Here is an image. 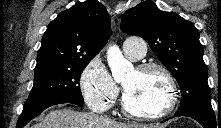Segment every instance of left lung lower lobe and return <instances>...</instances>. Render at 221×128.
Segmentation results:
<instances>
[{
  "label": "left lung lower lobe",
  "mask_w": 221,
  "mask_h": 128,
  "mask_svg": "<svg viewBox=\"0 0 221 128\" xmlns=\"http://www.w3.org/2000/svg\"><path fill=\"white\" fill-rule=\"evenodd\" d=\"M176 117L188 116L198 121L204 128H221L220 118L217 117L213 110L190 109L181 113H176ZM165 122V120L163 121Z\"/></svg>",
  "instance_id": "left-lung-lower-lobe-1"
}]
</instances>
